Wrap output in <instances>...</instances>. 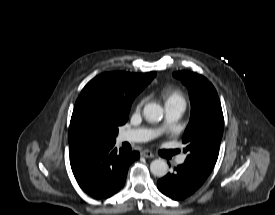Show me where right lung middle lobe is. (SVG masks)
Here are the masks:
<instances>
[{"instance_id": "obj_1", "label": "right lung middle lobe", "mask_w": 275, "mask_h": 215, "mask_svg": "<svg viewBox=\"0 0 275 215\" xmlns=\"http://www.w3.org/2000/svg\"><path fill=\"white\" fill-rule=\"evenodd\" d=\"M117 134V124L95 117L85 120L79 130L84 146L115 141Z\"/></svg>"}]
</instances>
